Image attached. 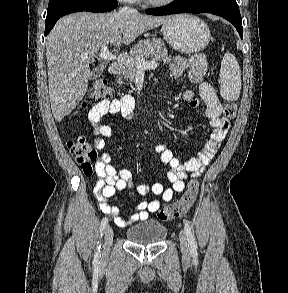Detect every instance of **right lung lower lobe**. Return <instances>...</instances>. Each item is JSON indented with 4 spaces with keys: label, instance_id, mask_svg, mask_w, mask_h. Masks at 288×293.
I'll return each mask as SVG.
<instances>
[{
    "label": "right lung lower lobe",
    "instance_id": "obj_1",
    "mask_svg": "<svg viewBox=\"0 0 288 293\" xmlns=\"http://www.w3.org/2000/svg\"><path fill=\"white\" fill-rule=\"evenodd\" d=\"M117 6L118 2L105 4L89 0H81L62 5L50 12H47V17L45 21V36L49 34L57 20L64 15L79 11H90L94 13L109 12L115 9Z\"/></svg>",
    "mask_w": 288,
    "mask_h": 293
}]
</instances>
